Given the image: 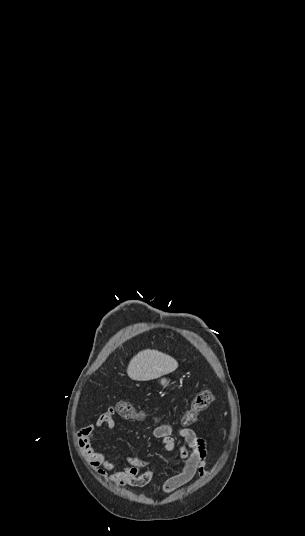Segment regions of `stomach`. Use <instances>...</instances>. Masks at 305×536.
<instances>
[{"instance_id": "1", "label": "stomach", "mask_w": 305, "mask_h": 536, "mask_svg": "<svg viewBox=\"0 0 305 536\" xmlns=\"http://www.w3.org/2000/svg\"><path fill=\"white\" fill-rule=\"evenodd\" d=\"M170 380H167V378H160L159 380V384H161V386H163V388H166V386H168Z\"/></svg>"}]
</instances>
